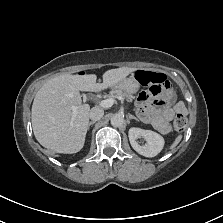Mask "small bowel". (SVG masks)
I'll list each match as a JSON object with an SVG mask.
<instances>
[{
  "instance_id": "c3829d8e",
  "label": "small bowel",
  "mask_w": 223,
  "mask_h": 223,
  "mask_svg": "<svg viewBox=\"0 0 223 223\" xmlns=\"http://www.w3.org/2000/svg\"><path fill=\"white\" fill-rule=\"evenodd\" d=\"M140 116L150 122L161 133L171 130L170 122L175 113L185 112V106L175 100L171 84L153 85L137 97Z\"/></svg>"
}]
</instances>
